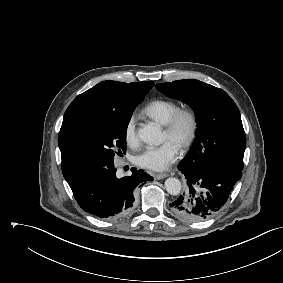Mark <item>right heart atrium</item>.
<instances>
[{"mask_svg":"<svg viewBox=\"0 0 283 283\" xmlns=\"http://www.w3.org/2000/svg\"><path fill=\"white\" fill-rule=\"evenodd\" d=\"M124 138L126 143L130 146H136L139 142L137 119L135 115H131L125 124Z\"/></svg>","mask_w":283,"mask_h":283,"instance_id":"d8ad5b80","label":"right heart atrium"}]
</instances>
